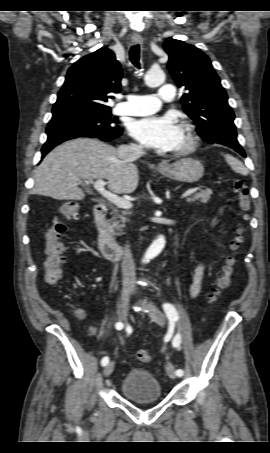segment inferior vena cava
<instances>
[{
	"label": "inferior vena cava",
	"mask_w": 270,
	"mask_h": 453,
	"mask_svg": "<svg viewBox=\"0 0 270 453\" xmlns=\"http://www.w3.org/2000/svg\"><path fill=\"white\" fill-rule=\"evenodd\" d=\"M118 156L126 162H133L145 154L143 146L130 144L118 147ZM122 273L124 276L133 278L135 275V264L131 250L128 245L125 246L124 257L122 261Z\"/></svg>",
	"instance_id": "obj_1"
}]
</instances>
